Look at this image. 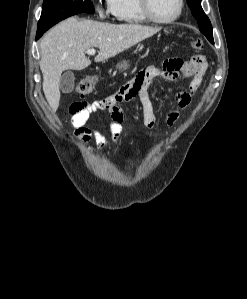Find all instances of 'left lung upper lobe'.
Listing matches in <instances>:
<instances>
[{
    "label": "left lung upper lobe",
    "instance_id": "left-lung-upper-lobe-1",
    "mask_svg": "<svg viewBox=\"0 0 247 299\" xmlns=\"http://www.w3.org/2000/svg\"><path fill=\"white\" fill-rule=\"evenodd\" d=\"M192 15L197 19L200 31L214 44L213 29L209 18L201 7V0H187Z\"/></svg>",
    "mask_w": 247,
    "mask_h": 299
}]
</instances>
